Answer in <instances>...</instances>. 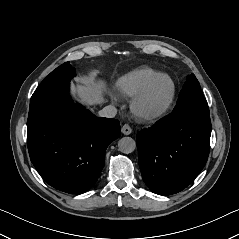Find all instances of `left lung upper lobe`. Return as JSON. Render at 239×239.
<instances>
[{
	"label": "left lung upper lobe",
	"instance_id": "obj_1",
	"mask_svg": "<svg viewBox=\"0 0 239 239\" xmlns=\"http://www.w3.org/2000/svg\"><path fill=\"white\" fill-rule=\"evenodd\" d=\"M189 103L207 104V101L202 94L200 83L194 74L187 77V81L180 92L175 109Z\"/></svg>",
	"mask_w": 239,
	"mask_h": 239
}]
</instances>
